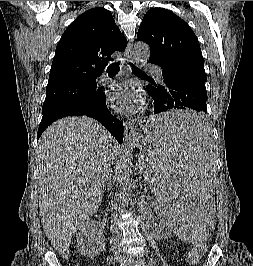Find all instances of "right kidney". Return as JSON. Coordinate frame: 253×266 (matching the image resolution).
I'll return each mask as SVG.
<instances>
[{
    "label": "right kidney",
    "mask_w": 253,
    "mask_h": 266,
    "mask_svg": "<svg viewBox=\"0 0 253 266\" xmlns=\"http://www.w3.org/2000/svg\"><path fill=\"white\" fill-rule=\"evenodd\" d=\"M78 250L86 257L99 255L105 248V239L93 220L85 221L76 234Z\"/></svg>",
    "instance_id": "obj_1"
}]
</instances>
